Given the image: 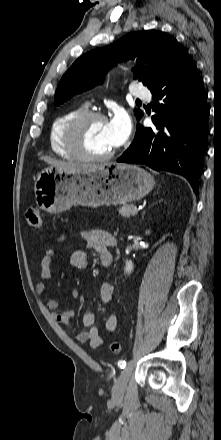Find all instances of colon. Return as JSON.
Here are the masks:
<instances>
[{
	"label": "colon",
	"mask_w": 221,
	"mask_h": 440,
	"mask_svg": "<svg viewBox=\"0 0 221 440\" xmlns=\"http://www.w3.org/2000/svg\"><path fill=\"white\" fill-rule=\"evenodd\" d=\"M26 219L30 227L34 229H40L42 227V217L40 214L39 209L36 206H31L28 208L26 212ZM121 345L118 342H110L109 343V350L114 353L118 354L121 352Z\"/></svg>",
	"instance_id": "obj_1"
}]
</instances>
